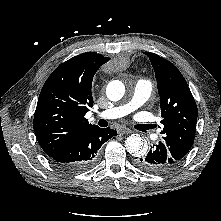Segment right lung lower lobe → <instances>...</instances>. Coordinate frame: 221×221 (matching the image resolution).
<instances>
[{"label":"right lung lower lobe","instance_id":"obj_1","mask_svg":"<svg viewBox=\"0 0 221 221\" xmlns=\"http://www.w3.org/2000/svg\"><path fill=\"white\" fill-rule=\"evenodd\" d=\"M113 136H117L116 130L95 126L50 158L53 164L63 171H86L98 160L101 146Z\"/></svg>","mask_w":221,"mask_h":221}]
</instances>
